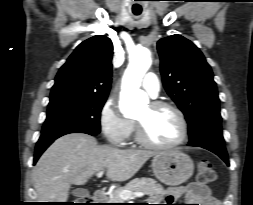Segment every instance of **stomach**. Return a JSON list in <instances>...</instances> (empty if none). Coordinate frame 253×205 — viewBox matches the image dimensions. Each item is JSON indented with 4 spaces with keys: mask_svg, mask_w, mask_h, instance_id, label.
Instances as JSON below:
<instances>
[{
    "mask_svg": "<svg viewBox=\"0 0 253 205\" xmlns=\"http://www.w3.org/2000/svg\"><path fill=\"white\" fill-rule=\"evenodd\" d=\"M152 168L158 180L169 186H178L192 176L194 164L187 154L170 150L157 153Z\"/></svg>",
    "mask_w": 253,
    "mask_h": 205,
    "instance_id": "stomach-1",
    "label": "stomach"
}]
</instances>
